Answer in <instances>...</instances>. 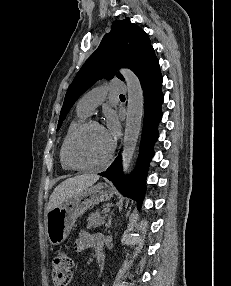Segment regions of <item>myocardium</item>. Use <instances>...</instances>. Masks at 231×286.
Wrapping results in <instances>:
<instances>
[{
    "label": "myocardium",
    "mask_w": 231,
    "mask_h": 286,
    "mask_svg": "<svg viewBox=\"0 0 231 286\" xmlns=\"http://www.w3.org/2000/svg\"><path fill=\"white\" fill-rule=\"evenodd\" d=\"M93 126L104 128L96 120H86L81 125H79L72 132L70 137L68 138V141H67V144H66V150H65V157H66V161L69 164V166H71L75 170H88V169L101 167V166L105 165L106 163H108L110 161V159L112 158V156H113V154L115 152L116 144H115V141L112 139V144H111L109 152L100 161L92 162V163H82V162H79V161L76 160V158L73 155V146H74L77 138L84 131H86L88 128L93 127Z\"/></svg>",
    "instance_id": "obj_1"
}]
</instances>
